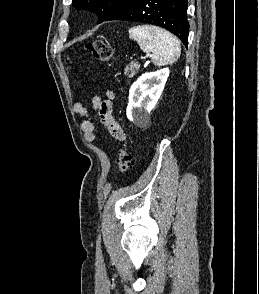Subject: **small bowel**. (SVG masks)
I'll return each mask as SVG.
<instances>
[{"label":"small bowel","instance_id":"c3829d8e","mask_svg":"<svg viewBox=\"0 0 259 294\" xmlns=\"http://www.w3.org/2000/svg\"><path fill=\"white\" fill-rule=\"evenodd\" d=\"M114 97L112 91L107 92V99H102L100 96H94L92 98V108L95 111L100 125L113 137L120 141L126 139V135L120 124L115 120L112 110L111 100ZM73 112L83 118L87 117L88 110L82 103H75L73 105ZM80 130L82 131L84 138L92 142L96 138L94 124L89 120H82L80 123Z\"/></svg>","mask_w":259,"mask_h":294}]
</instances>
